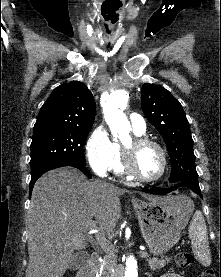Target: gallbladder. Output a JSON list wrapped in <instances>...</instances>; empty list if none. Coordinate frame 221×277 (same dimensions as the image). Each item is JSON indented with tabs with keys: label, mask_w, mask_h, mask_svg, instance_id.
I'll use <instances>...</instances> for the list:
<instances>
[{
	"label": "gallbladder",
	"mask_w": 221,
	"mask_h": 277,
	"mask_svg": "<svg viewBox=\"0 0 221 277\" xmlns=\"http://www.w3.org/2000/svg\"><path fill=\"white\" fill-rule=\"evenodd\" d=\"M88 257H89L88 254L84 251L75 253L72 261L69 264V268L71 270L80 269L82 266L86 264Z\"/></svg>",
	"instance_id": "1"
}]
</instances>
